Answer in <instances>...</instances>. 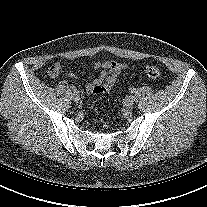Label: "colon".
Returning <instances> with one entry per match:
<instances>
[{
  "label": "colon",
  "mask_w": 207,
  "mask_h": 207,
  "mask_svg": "<svg viewBox=\"0 0 207 207\" xmlns=\"http://www.w3.org/2000/svg\"><path fill=\"white\" fill-rule=\"evenodd\" d=\"M144 72L147 77L153 80H157L161 77V71L154 65H147L144 67Z\"/></svg>",
  "instance_id": "1"
}]
</instances>
